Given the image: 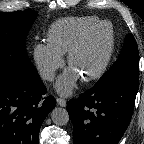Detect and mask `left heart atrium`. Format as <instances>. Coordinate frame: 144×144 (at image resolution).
<instances>
[{
  "label": "left heart atrium",
  "mask_w": 144,
  "mask_h": 144,
  "mask_svg": "<svg viewBox=\"0 0 144 144\" xmlns=\"http://www.w3.org/2000/svg\"><path fill=\"white\" fill-rule=\"evenodd\" d=\"M78 77V74L72 68L68 69L59 77L56 83L58 93L62 95L69 94L75 87Z\"/></svg>",
  "instance_id": "obj_1"
}]
</instances>
